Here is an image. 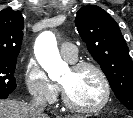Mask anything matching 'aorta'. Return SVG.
Returning <instances> with one entry per match:
<instances>
[{"label": "aorta", "instance_id": "762f6f07", "mask_svg": "<svg viewBox=\"0 0 133 118\" xmlns=\"http://www.w3.org/2000/svg\"><path fill=\"white\" fill-rule=\"evenodd\" d=\"M35 56L52 80H57L68 68L60 57L55 35L50 31L41 33L37 38Z\"/></svg>", "mask_w": 133, "mask_h": 118}]
</instances>
